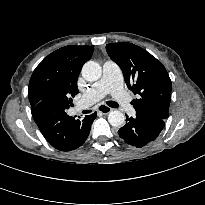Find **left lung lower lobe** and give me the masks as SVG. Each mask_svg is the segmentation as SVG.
Here are the masks:
<instances>
[{"label":"left lung lower lobe","mask_w":205,"mask_h":205,"mask_svg":"<svg viewBox=\"0 0 205 205\" xmlns=\"http://www.w3.org/2000/svg\"><path fill=\"white\" fill-rule=\"evenodd\" d=\"M165 119L142 113L136 117L126 115V124L119 129V136L129 145L141 148L154 141L165 126Z\"/></svg>","instance_id":"1"}]
</instances>
